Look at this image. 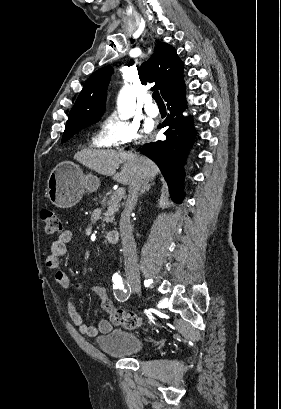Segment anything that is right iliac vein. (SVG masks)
I'll return each mask as SVG.
<instances>
[{
    "instance_id": "1",
    "label": "right iliac vein",
    "mask_w": 281,
    "mask_h": 409,
    "mask_svg": "<svg viewBox=\"0 0 281 409\" xmlns=\"http://www.w3.org/2000/svg\"><path fill=\"white\" fill-rule=\"evenodd\" d=\"M130 288L132 289V291L136 292L139 296H141L142 292H141V286L138 282H130Z\"/></svg>"
}]
</instances>
